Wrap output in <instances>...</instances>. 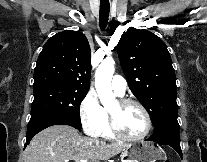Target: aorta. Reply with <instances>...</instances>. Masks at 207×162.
<instances>
[{
	"mask_svg": "<svg viewBox=\"0 0 207 162\" xmlns=\"http://www.w3.org/2000/svg\"><path fill=\"white\" fill-rule=\"evenodd\" d=\"M115 61L111 57L104 59L95 74V87L103 106L115 103V95L111 89V80L115 70Z\"/></svg>",
	"mask_w": 207,
	"mask_h": 162,
	"instance_id": "1",
	"label": "aorta"
}]
</instances>
